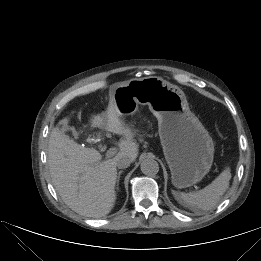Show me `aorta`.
I'll return each instance as SVG.
<instances>
[{
  "instance_id": "1",
  "label": "aorta",
  "mask_w": 261,
  "mask_h": 261,
  "mask_svg": "<svg viewBox=\"0 0 261 261\" xmlns=\"http://www.w3.org/2000/svg\"><path fill=\"white\" fill-rule=\"evenodd\" d=\"M143 174L148 176L156 175L159 172V164L153 158H145L140 165Z\"/></svg>"
}]
</instances>
